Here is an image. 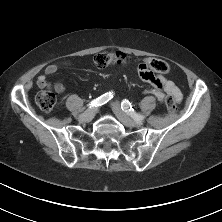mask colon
Masks as SVG:
<instances>
[{"mask_svg":"<svg viewBox=\"0 0 222 222\" xmlns=\"http://www.w3.org/2000/svg\"><path fill=\"white\" fill-rule=\"evenodd\" d=\"M92 61L95 66L104 68L108 66L124 65L128 61V58L125 54L118 51H103L95 54ZM140 69H146L153 73L165 74L168 72V65L163 60L150 58L143 60L138 65V71ZM35 101L42 111L49 113L53 111L56 106V94L51 89H44L37 93ZM166 105L169 112H175L177 109L173 97H168L166 99Z\"/></svg>","mask_w":222,"mask_h":222,"instance_id":"colon-1","label":"colon"}]
</instances>
